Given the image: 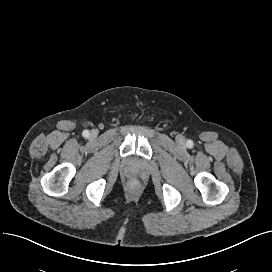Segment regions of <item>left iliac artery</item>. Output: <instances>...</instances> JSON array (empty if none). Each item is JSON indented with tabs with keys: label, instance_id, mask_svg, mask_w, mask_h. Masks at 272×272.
Here are the masks:
<instances>
[{
	"label": "left iliac artery",
	"instance_id": "1",
	"mask_svg": "<svg viewBox=\"0 0 272 272\" xmlns=\"http://www.w3.org/2000/svg\"><path fill=\"white\" fill-rule=\"evenodd\" d=\"M187 146L191 148V147L193 146V141L188 140V141H187Z\"/></svg>",
	"mask_w": 272,
	"mask_h": 272
}]
</instances>
